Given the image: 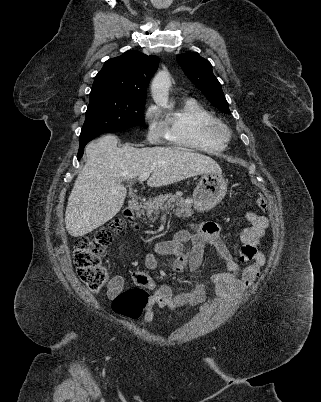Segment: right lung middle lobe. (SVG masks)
<instances>
[{"instance_id":"1","label":"right lung middle lobe","mask_w":321,"mask_h":402,"mask_svg":"<svg viewBox=\"0 0 321 402\" xmlns=\"http://www.w3.org/2000/svg\"><path fill=\"white\" fill-rule=\"evenodd\" d=\"M144 105V100L91 92L80 137H96L102 133L140 126L144 123Z\"/></svg>"}]
</instances>
